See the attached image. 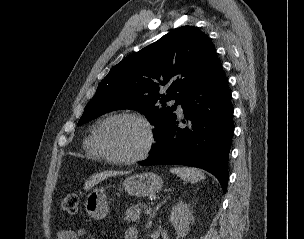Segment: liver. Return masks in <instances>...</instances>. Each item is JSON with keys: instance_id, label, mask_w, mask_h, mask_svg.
<instances>
[{"instance_id": "liver-1", "label": "liver", "mask_w": 304, "mask_h": 239, "mask_svg": "<svg viewBox=\"0 0 304 239\" xmlns=\"http://www.w3.org/2000/svg\"><path fill=\"white\" fill-rule=\"evenodd\" d=\"M127 174V172L124 171H104L100 172L97 174L92 175L88 180H86L84 184V190L88 191L104 179L112 176H117V175H124Z\"/></svg>"}]
</instances>
